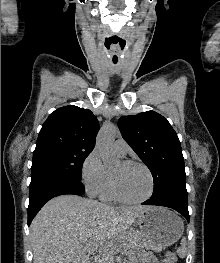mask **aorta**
<instances>
[{
	"instance_id": "obj_1",
	"label": "aorta",
	"mask_w": 220,
	"mask_h": 263,
	"mask_svg": "<svg viewBox=\"0 0 220 263\" xmlns=\"http://www.w3.org/2000/svg\"><path fill=\"white\" fill-rule=\"evenodd\" d=\"M114 133V126H104L100 130L96 140V147L100 153L103 164L106 166H110L117 161L116 157L113 154Z\"/></svg>"
}]
</instances>
